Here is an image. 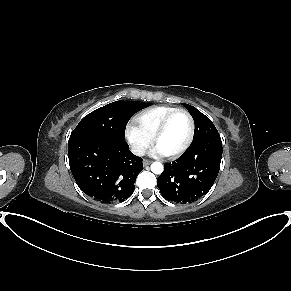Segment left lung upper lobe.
Instances as JSON below:
<instances>
[{"instance_id": "5c2ea615", "label": "left lung upper lobe", "mask_w": 291, "mask_h": 291, "mask_svg": "<svg viewBox=\"0 0 291 291\" xmlns=\"http://www.w3.org/2000/svg\"><path fill=\"white\" fill-rule=\"evenodd\" d=\"M183 106L189 111L194 119L195 131L193 142L219 134L214 124L207 116L197 110L194 106H190L188 104H183Z\"/></svg>"}]
</instances>
